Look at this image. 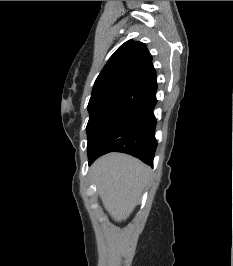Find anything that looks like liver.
I'll use <instances>...</instances> for the list:
<instances>
[{"label":"liver","instance_id":"obj_1","mask_svg":"<svg viewBox=\"0 0 233 266\" xmlns=\"http://www.w3.org/2000/svg\"><path fill=\"white\" fill-rule=\"evenodd\" d=\"M92 175L105 209L115 221L121 222L138 203L150 169L132 156L109 153L94 162Z\"/></svg>","mask_w":233,"mask_h":266}]
</instances>
